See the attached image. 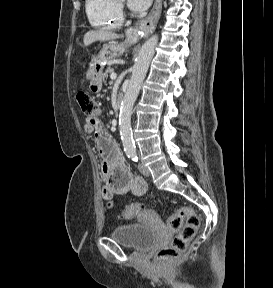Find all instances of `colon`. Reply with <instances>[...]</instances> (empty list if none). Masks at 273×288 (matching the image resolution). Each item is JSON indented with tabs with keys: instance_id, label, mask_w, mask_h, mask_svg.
Segmentation results:
<instances>
[{
	"instance_id": "1",
	"label": "colon",
	"mask_w": 273,
	"mask_h": 288,
	"mask_svg": "<svg viewBox=\"0 0 273 288\" xmlns=\"http://www.w3.org/2000/svg\"><path fill=\"white\" fill-rule=\"evenodd\" d=\"M77 101L85 115L94 117L99 113L96 101L89 94L79 93ZM140 209V205L130 204L124 209L123 216L126 219H133ZM166 224L171 231L176 232V235L169 246L162 248L156 254L155 261L159 265H168L185 253L199 228L200 219L191 207L182 206L166 218Z\"/></svg>"
}]
</instances>
